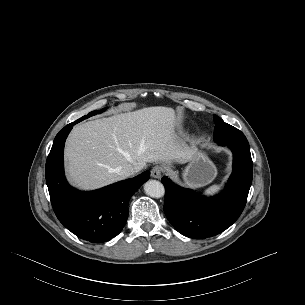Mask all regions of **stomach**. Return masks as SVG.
Returning a JSON list of instances; mask_svg holds the SVG:
<instances>
[{
  "instance_id": "obj_1",
  "label": "stomach",
  "mask_w": 305,
  "mask_h": 305,
  "mask_svg": "<svg viewBox=\"0 0 305 305\" xmlns=\"http://www.w3.org/2000/svg\"><path fill=\"white\" fill-rule=\"evenodd\" d=\"M217 169L206 153L194 152L191 161L182 173L183 183L192 188L203 187L212 182Z\"/></svg>"
}]
</instances>
